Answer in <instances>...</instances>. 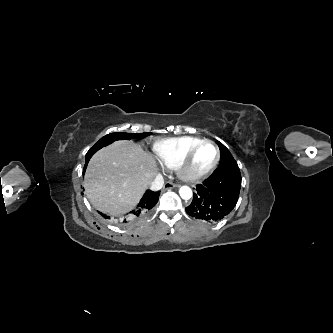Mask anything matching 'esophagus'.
<instances>
[{"instance_id": "34e87169", "label": "esophagus", "mask_w": 333, "mask_h": 333, "mask_svg": "<svg viewBox=\"0 0 333 333\" xmlns=\"http://www.w3.org/2000/svg\"><path fill=\"white\" fill-rule=\"evenodd\" d=\"M177 187H179V185L174 184V183L168 181V182H166V183L164 184L163 189H164V190H169V189H173V188H177Z\"/></svg>"}]
</instances>
